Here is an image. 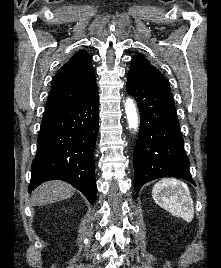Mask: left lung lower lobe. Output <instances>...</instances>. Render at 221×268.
Returning a JSON list of instances; mask_svg holds the SVG:
<instances>
[{
  "instance_id": "0a47b994",
  "label": "left lung lower lobe",
  "mask_w": 221,
  "mask_h": 268,
  "mask_svg": "<svg viewBox=\"0 0 221 268\" xmlns=\"http://www.w3.org/2000/svg\"><path fill=\"white\" fill-rule=\"evenodd\" d=\"M126 90L140 111V132L133 153L135 190L165 176L183 178L194 184L189 158L170 91L144 86L127 79Z\"/></svg>"
}]
</instances>
